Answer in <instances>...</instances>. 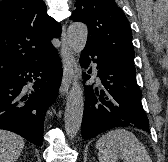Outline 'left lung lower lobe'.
<instances>
[{
  "label": "left lung lower lobe",
  "instance_id": "1",
  "mask_svg": "<svg viewBox=\"0 0 168 162\" xmlns=\"http://www.w3.org/2000/svg\"><path fill=\"white\" fill-rule=\"evenodd\" d=\"M97 64L101 90L93 85L85 88L82 137L89 139L117 127L131 126L150 133L149 120L141 103V91L132 68L120 64L98 49L86 46L80 64L88 68ZM90 76L83 73V83Z\"/></svg>",
  "mask_w": 168,
  "mask_h": 162
}]
</instances>
